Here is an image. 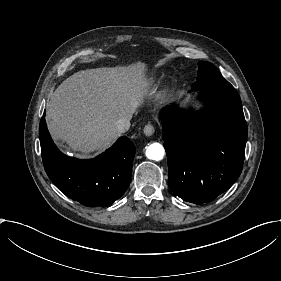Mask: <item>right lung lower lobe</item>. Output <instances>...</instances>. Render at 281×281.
Instances as JSON below:
<instances>
[{"instance_id":"obj_1","label":"right lung lower lobe","mask_w":281,"mask_h":281,"mask_svg":"<svg viewBox=\"0 0 281 281\" xmlns=\"http://www.w3.org/2000/svg\"><path fill=\"white\" fill-rule=\"evenodd\" d=\"M39 136L48 177L72 200L89 207H106L127 190L136 151L127 137H120L111 148L94 159L79 160L58 150L44 116L40 121Z\"/></svg>"}]
</instances>
